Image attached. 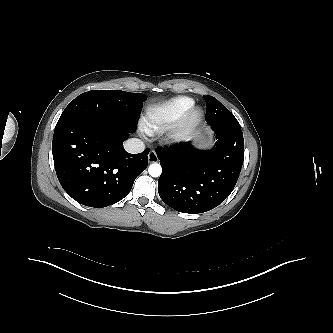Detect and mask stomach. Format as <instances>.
I'll use <instances>...</instances> for the list:
<instances>
[{
    "label": "stomach",
    "mask_w": 333,
    "mask_h": 333,
    "mask_svg": "<svg viewBox=\"0 0 333 333\" xmlns=\"http://www.w3.org/2000/svg\"><path fill=\"white\" fill-rule=\"evenodd\" d=\"M198 140L201 142V141H202V140H201V137H199V139H198Z\"/></svg>",
    "instance_id": "obj_1"
}]
</instances>
